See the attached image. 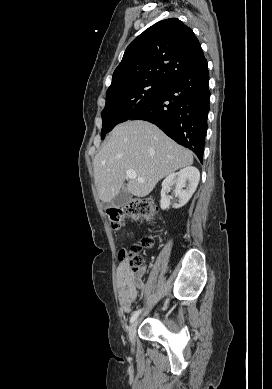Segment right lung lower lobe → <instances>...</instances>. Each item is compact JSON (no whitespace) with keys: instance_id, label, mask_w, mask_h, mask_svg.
I'll use <instances>...</instances> for the list:
<instances>
[{"instance_id":"obj_1","label":"right lung lower lobe","mask_w":272,"mask_h":389,"mask_svg":"<svg viewBox=\"0 0 272 389\" xmlns=\"http://www.w3.org/2000/svg\"><path fill=\"white\" fill-rule=\"evenodd\" d=\"M210 91L207 60L175 75L161 92L128 120L157 125L177 143L191 149L203 161Z\"/></svg>"}]
</instances>
